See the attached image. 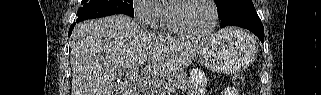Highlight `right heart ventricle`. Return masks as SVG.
<instances>
[{
	"label": "right heart ventricle",
	"instance_id": "obj_1",
	"mask_svg": "<svg viewBox=\"0 0 321 95\" xmlns=\"http://www.w3.org/2000/svg\"><path fill=\"white\" fill-rule=\"evenodd\" d=\"M171 2H172L171 0L169 1L164 0V1L158 2V13L155 19L151 23L153 28L162 29L165 31H171L167 23V10Z\"/></svg>",
	"mask_w": 321,
	"mask_h": 95
}]
</instances>
